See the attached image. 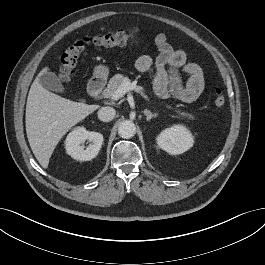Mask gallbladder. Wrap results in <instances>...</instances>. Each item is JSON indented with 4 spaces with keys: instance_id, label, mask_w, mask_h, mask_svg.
Masks as SVG:
<instances>
[{
    "instance_id": "obj_1",
    "label": "gallbladder",
    "mask_w": 265,
    "mask_h": 265,
    "mask_svg": "<svg viewBox=\"0 0 265 265\" xmlns=\"http://www.w3.org/2000/svg\"><path fill=\"white\" fill-rule=\"evenodd\" d=\"M40 84L53 92L64 93L65 88L63 87L60 79L56 74L52 72H46L39 78Z\"/></svg>"
}]
</instances>
